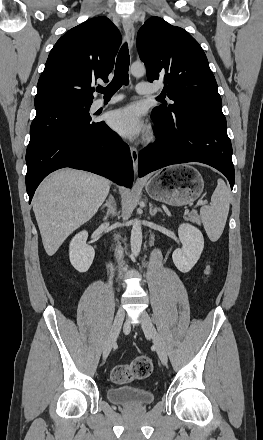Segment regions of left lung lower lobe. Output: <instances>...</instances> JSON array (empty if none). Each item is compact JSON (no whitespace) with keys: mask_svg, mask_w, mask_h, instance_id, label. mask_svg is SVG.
Segmentation results:
<instances>
[{"mask_svg":"<svg viewBox=\"0 0 263 440\" xmlns=\"http://www.w3.org/2000/svg\"><path fill=\"white\" fill-rule=\"evenodd\" d=\"M157 140L139 153L140 177L172 164L201 162L222 172L233 188L235 173L232 146L223 114H210L173 121L152 114Z\"/></svg>","mask_w":263,"mask_h":440,"instance_id":"0a47b994","label":"left lung lower lobe"}]
</instances>
